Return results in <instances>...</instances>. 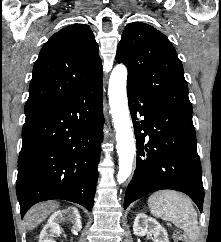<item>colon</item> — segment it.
<instances>
[{"instance_id":"1","label":"colon","mask_w":221,"mask_h":242,"mask_svg":"<svg viewBox=\"0 0 221 242\" xmlns=\"http://www.w3.org/2000/svg\"><path fill=\"white\" fill-rule=\"evenodd\" d=\"M172 242H189L182 230H175L172 235Z\"/></svg>"}]
</instances>
